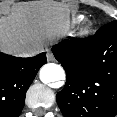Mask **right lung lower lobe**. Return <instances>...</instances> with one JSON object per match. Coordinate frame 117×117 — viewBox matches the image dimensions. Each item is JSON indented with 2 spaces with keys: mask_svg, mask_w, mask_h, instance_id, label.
<instances>
[{
  "mask_svg": "<svg viewBox=\"0 0 117 117\" xmlns=\"http://www.w3.org/2000/svg\"><path fill=\"white\" fill-rule=\"evenodd\" d=\"M47 62L46 54L18 58L0 52V117H18L25 95L40 67Z\"/></svg>",
  "mask_w": 117,
  "mask_h": 117,
  "instance_id": "98d812e1",
  "label": "right lung lower lobe"
}]
</instances>
